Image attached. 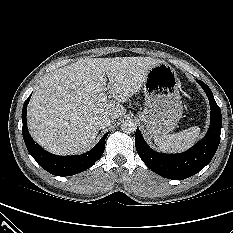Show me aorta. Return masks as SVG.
Instances as JSON below:
<instances>
[{"label": "aorta", "instance_id": "obj_1", "mask_svg": "<svg viewBox=\"0 0 233 233\" xmlns=\"http://www.w3.org/2000/svg\"><path fill=\"white\" fill-rule=\"evenodd\" d=\"M121 129L126 133H133L137 129L136 122L132 119L124 120L121 124Z\"/></svg>", "mask_w": 233, "mask_h": 233}]
</instances>
